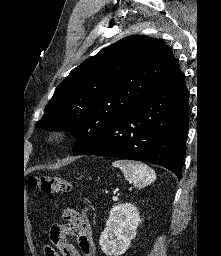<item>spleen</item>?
<instances>
[{
	"instance_id": "1",
	"label": "spleen",
	"mask_w": 221,
	"mask_h": 256,
	"mask_svg": "<svg viewBox=\"0 0 221 256\" xmlns=\"http://www.w3.org/2000/svg\"><path fill=\"white\" fill-rule=\"evenodd\" d=\"M112 165L119 168L123 172L125 179L133 183L134 187L138 189L151 184L156 179L154 170L144 163L116 160Z\"/></svg>"
}]
</instances>
